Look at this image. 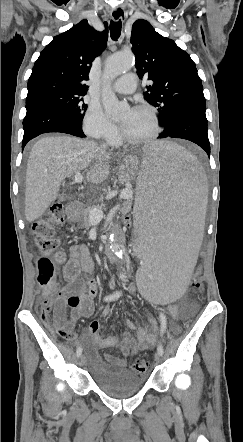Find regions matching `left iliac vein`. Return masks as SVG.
Listing matches in <instances>:
<instances>
[{
    "mask_svg": "<svg viewBox=\"0 0 243 442\" xmlns=\"http://www.w3.org/2000/svg\"><path fill=\"white\" fill-rule=\"evenodd\" d=\"M155 362L156 363H160L161 362V359H162V355L161 354H159L158 352L155 354Z\"/></svg>",
    "mask_w": 243,
    "mask_h": 442,
    "instance_id": "1",
    "label": "left iliac vein"
}]
</instances>
